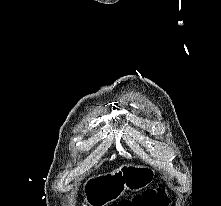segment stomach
<instances>
[{"label": "stomach", "instance_id": "1", "mask_svg": "<svg viewBox=\"0 0 221 206\" xmlns=\"http://www.w3.org/2000/svg\"><path fill=\"white\" fill-rule=\"evenodd\" d=\"M153 177V169L146 165H122L112 173L100 175L87 184L84 206H106L121 197L125 190L139 191L147 187Z\"/></svg>", "mask_w": 221, "mask_h": 206}]
</instances>
